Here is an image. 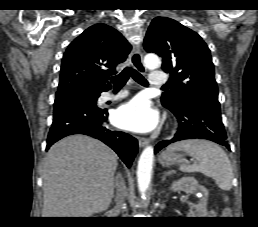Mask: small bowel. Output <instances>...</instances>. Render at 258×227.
Here are the masks:
<instances>
[{
  "label": "small bowel",
  "mask_w": 258,
  "mask_h": 227,
  "mask_svg": "<svg viewBox=\"0 0 258 227\" xmlns=\"http://www.w3.org/2000/svg\"><path fill=\"white\" fill-rule=\"evenodd\" d=\"M209 215H210V216H214V215H215V212H214L213 210H211V211L209 212Z\"/></svg>",
  "instance_id": "obj_1"
}]
</instances>
